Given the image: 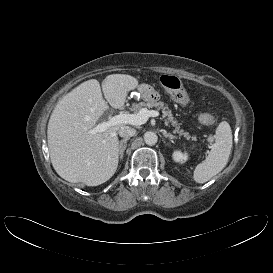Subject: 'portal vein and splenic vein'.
<instances>
[{
  "label": "portal vein and splenic vein",
  "mask_w": 273,
  "mask_h": 273,
  "mask_svg": "<svg viewBox=\"0 0 273 273\" xmlns=\"http://www.w3.org/2000/svg\"><path fill=\"white\" fill-rule=\"evenodd\" d=\"M159 112L155 110H148L146 108L141 109L137 114H119L111 117L107 121L99 123L93 129L89 131L90 134H96L104 132L111 126L118 124H131V125H142L147 122L149 117H157Z\"/></svg>",
  "instance_id": "1"
}]
</instances>
